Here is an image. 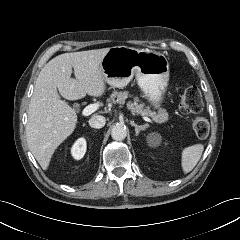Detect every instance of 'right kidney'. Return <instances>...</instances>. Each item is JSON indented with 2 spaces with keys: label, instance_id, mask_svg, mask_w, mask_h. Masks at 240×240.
<instances>
[{
  "label": "right kidney",
  "instance_id": "right-kidney-1",
  "mask_svg": "<svg viewBox=\"0 0 240 240\" xmlns=\"http://www.w3.org/2000/svg\"><path fill=\"white\" fill-rule=\"evenodd\" d=\"M86 148V140L84 138H79L72 146V156L77 160L83 158L86 152Z\"/></svg>",
  "mask_w": 240,
  "mask_h": 240
}]
</instances>
